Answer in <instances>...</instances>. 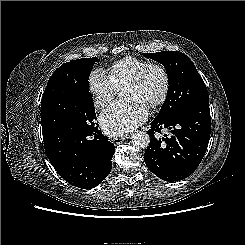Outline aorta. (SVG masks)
<instances>
[{"mask_svg":"<svg viewBox=\"0 0 245 245\" xmlns=\"http://www.w3.org/2000/svg\"><path fill=\"white\" fill-rule=\"evenodd\" d=\"M131 143L138 149H145L149 146L150 137L144 131H137L131 136Z\"/></svg>","mask_w":245,"mask_h":245,"instance_id":"aorta-1","label":"aorta"}]
</instances>
